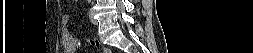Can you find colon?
Wrapping results in <instances>:
<instances>
[{
	"label": "colon",
	"instance_id": "1",
	"mask_svg": "<svg viewBox=\"0 0 253 53\" xmlns=\"http://www.w3.org/2000/svg\"><path fill=\"white\" fill-rule=\"evenodd\" d=\"M88 44L92 47H100L101 46V42L98 39H90L88 40ZM105 52H110L108 49H105Z\"/></svg>",
	"mask_w": 253,
	"mask_h": 53
}]
</instances>
